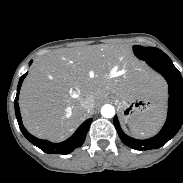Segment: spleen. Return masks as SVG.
I'll return each mask as SVG.
<instances>
[{
    "instance_id": "3e777b00",
    "label": "spleen",
    "mask_w": 183,
    "mask_h": 183,
    "mask_svg": "<svg viewBox=\"0 0 183 183\" xmlns=\"http://www.w3.org/2000/svg\"><path fill=\"white\" fill-rule=\"evenodd\" d=\"M165 108L158 106L140 120L129 125L131 133L138 138H147L155 135L164 123Z\"/></svg>"
}]
</instances>
